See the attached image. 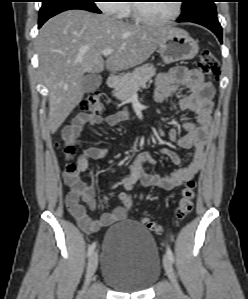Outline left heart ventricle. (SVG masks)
Listing matches in <instances>:
<instances>
[{"mask_svg": "<svg viewBox=\"0 0 248 299\" xmlns=\"http://www.w3.org/2000/svg\"><path fill=\"white\" fill-rule=\"evenodd\" d=\"M140 4L143 12L154 18L168 17L175 9L174 1H149Z\"/></svg>", "mask_w": 248, "mask_h": 299, "instance_id": "left-heart-ventricle-1", "label": "left heart ventricle"}]
</instances>
